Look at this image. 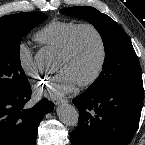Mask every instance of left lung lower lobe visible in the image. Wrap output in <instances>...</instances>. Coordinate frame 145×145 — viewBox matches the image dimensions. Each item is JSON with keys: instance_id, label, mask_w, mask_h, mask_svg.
Listing matches in <instances>:
<instances>
[{"instance_id": "obj_1", "label": "left lung lower lobe", "mask_w": 145, "mask_h": 145, "mask_svg": "<svg viewBox=\"0 0 145 145\" xmlns=\"http://www.w3.org/2000/svg\"><path fill=\"white\" fill-rule=\"evenodd\" d=\"M73 103L79 110V124L70 134L72 145H128L140 121L143 83L86 90Z\"/></svg>"}]
</instances>
